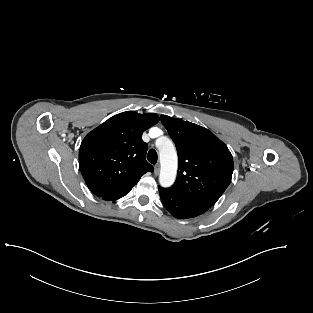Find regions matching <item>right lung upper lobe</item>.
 Here are the masks:
<instances>
[{
  "mask_svg": "<svg viewBox=\"0 0 313 313\" xmlns=\"http://www.w3.org/2000/svg\"><path fill=\"white\" fill-rule=\"evenodd\" d=\"M154 113L117 114L88 133L81 143L79 167L90 191L98 197L132 187L154 168L146 159L143 132L157 124Z\"/></svg>",
  "mask_w": 313,
  "mask_h": 313,
  "instance_id": "cb5924a9",
  "label": "right lung upper lobe"
}]
</instances>
